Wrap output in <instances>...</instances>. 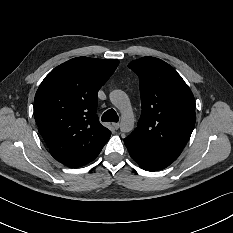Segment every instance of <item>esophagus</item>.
Segmentation results:
<instances>
[{
    "mask_svg": "<svg viewBox=\"0 0 233 233\" xmlns=\"http://www.w3.org/2000/svg\"><path fill=\"white\" fill-rule=\"evenodd\" d=\"M112 125H113V127L115 128V130H118L119 127H120V124H119V123H113Z\"/></svg>",
    "mask_w": 233,
    "mask_h": 233,
    "instance_id": "obj_1",
    "label": "esophagus"
}]
</instances>
